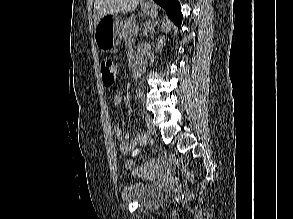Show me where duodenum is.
Returning a JSON list of instances; mask_svg holds the SVG:
<instances>
[{
	"label": "duodenum",
	"mask_w": 293,
	"mask_h": 219,
	"mask_svg": "<svg viewBox=\"0 0 293 219\" xmlns=\"http://www.w3.org/2000/svg\"><path fill=\"white\" fill-rule=\"evenodd\" d=\"M144 70V62L142 60H137L133 66V75L138 76Z\"/></svg>",
	"instance_id": "1"
}]
</instances>
